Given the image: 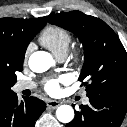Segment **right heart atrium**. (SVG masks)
Segmentation results:
<instances>
[{"label":"right heart atrium","mask_w":127,"mask_h":127,"mask_svg":"<svg viewBox=\"0 0 127 127\" xmlns=\"http://www.w3.org/2000/svg\"><path fill=\"white\" fill-rule=\"evenodd\" d=\"M32 49H33V44H30L28 46L27 50H26V54H25L26 59L28 58V56H29L30 52L32 51Z\"/></svg>","instance_id":"right-heart-atrium-1"}]
</instances>
